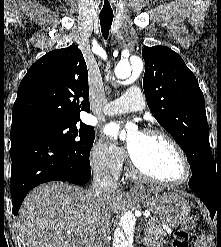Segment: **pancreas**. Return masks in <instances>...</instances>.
<instances>
[{
    "instance_id": "cf45deb5",
    "label": "pancreas",
    "mask_w": 221,
    "mask_h": 247,
    "mask_svg": "<svg viewBox=\"0 0 221 247\" xmlns=\"http://www.w3.org/2000/svg\"><path fill=\"white\" fill-rule=\"evenodd\" d=\"M145 236L143 243L146 246L160 247L166 241L164 240L165 232L162 230L159 220L156 217H151L146 223Z\"/></svg>"
}]
</instances>
